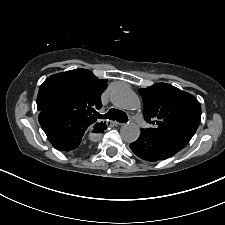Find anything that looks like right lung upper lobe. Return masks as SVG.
Instances as JSON below:
<instances>
[{"mask_svg": "<svg viewBox=\"0 0 225 225\" xmlns=\"http://www.w3.org/2000/svg\"><path fill=\"white\" fill-rule=\"evenodd\" d=\"M106 87L107 80L98 79L86 69L54 74L40 86L37 109L76 117L105 129V124L96 123L95 115L102 107L101 94Z\"/></svg>", "mask_w": 225, "mask_h": 225, "instance_id": "1", "label": "right lung upper lobe"}]
</instances>
